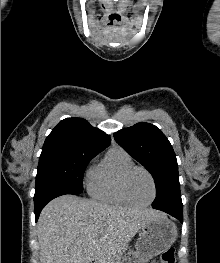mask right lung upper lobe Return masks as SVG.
I'll use <instances>...</instances> for the list:
<instances>
[{
  "label": "right lung upper lobe",
  "instance_id": "cb5924a9",
  "mask_svg": "<svg viewBox=\"0 0 220 263\" xmlns=\"http://www.w3.org/2000/svg\"><path fill=\"white\" fill-rule=\"evenodd\" d=\"M111 143L103 131L92 127L82 118L62 120L48 135L42 151L73 150L83 152H102Z\"/></svg>",
  "mask_w": 220,
  "mask_h": 263
}]
</instances>
